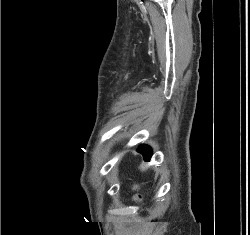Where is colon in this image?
I'll return each mask as SVG.
<instances>
[{"instance_id": "5ec220e1", "label": "colon", "mask_w": 250, "mask_h": 235, "mask_svg": "<svg viewBox=\"0 0 250 235\" xmlns=\"http://www.w3.org/2000/svg\"><path fill=\"white\" fill-rule=\"evenodd\" d=\"M134 188L137 189L136 186H134ZM140 198H141V195L137 194V195H136V199L138 200V199H140Z\"/></svg>"}]
</instances>
